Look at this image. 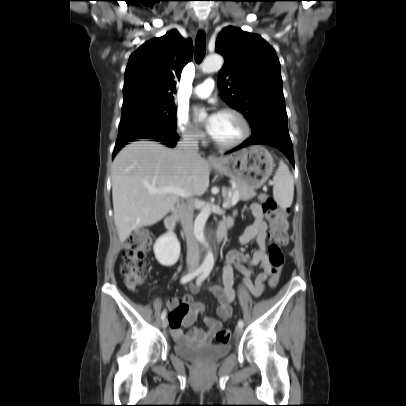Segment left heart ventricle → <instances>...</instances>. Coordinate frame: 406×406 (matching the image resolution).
Wrapping results in <instances>:
<instances>
[{
    "mask_svg": "<svg viewBox=\"0 0 406 406\" xmlns=\"http://www.w3.org/2000/svg\"><path fill=\"white\" fill-rule=\"evenodd\" d=\"M210 134L220 142H232L241 136L242 125L234 115L220 113L217 123Z\"/></svg>",
    "mask_w": 406,
    "mask_h": 406,
    "instance_id": "b2bd125f",
    "label": "left heart ventricle"
}]
</instances>
